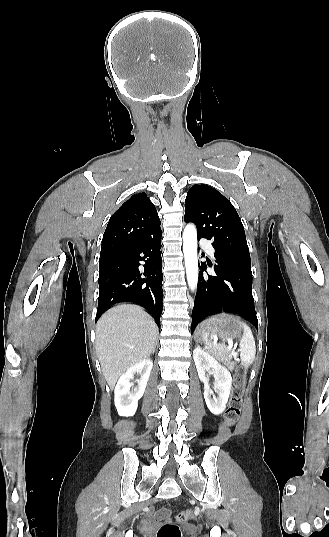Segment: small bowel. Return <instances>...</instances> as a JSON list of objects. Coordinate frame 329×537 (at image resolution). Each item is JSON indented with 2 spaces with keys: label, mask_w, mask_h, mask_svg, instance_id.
Returning <instances> with one entry per match:
<instances>
[{
  "label": "small bowel",
  "mask_w": 329,
  "mask_h": 537,
  "mask_svg": "<svg viewBox=\"0 0 329 537\" xmlns=\"http://www.w3.org/2000/svg\"><path fill=\"white\" fill-rule=\"evenodd\" d=\"M161 515H162V516H166V515H167V512H166V511H162V512H161Z\"/></svg>",
  "instance_id": "obj_1"
}]
</instances>
